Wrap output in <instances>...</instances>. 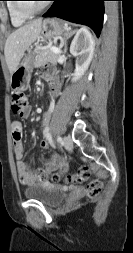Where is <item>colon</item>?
Listing matches in <instances>:
<instances>
[{
    "label": "colon",
    "mask_w": 133,
    "mask_h": 253,
    "mask_svg": "<svg viewBox=\"0 0 133 253\" xmlns=\"http://www.w3.org/2000/svg\"><path fill=\"white\" fill-rule=\"evenodd\" d=\"M28 104L27 97L22 92H16L12 95L11 98V110L14 114L22 115ZM42 173V170L39 171V174ZM90 177V169L88 166H81L74 174H69L64 176L61 172H55L52 175V180L60 181L65 179L70 183H83L87 181ZM103 183L100 180H93L89 182L86 186L87 195L90 198L97 197L102 191Z\"/></svg>",
    "instance_id": "obj_1"
}]
</instances>
